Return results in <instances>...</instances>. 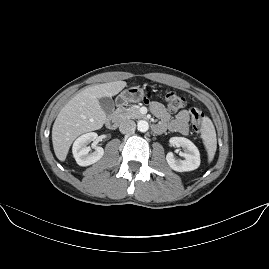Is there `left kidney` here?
Masks as SVG:
<instances>
[{
    "label": "left kidney",
    "mask_w": 269,
    "mask_h": 269,
    "mask_svg": "<svg viewBox=\"0 0 269 269\" xmlns=\"http://www.w3.org/2000/svg\"><path fill=\"white\" fill-rule=\"evenodd\" d=\"M168 142L171 146L184 148L182 153L185 157L184 160L175 157L172 151L167 153L166 160L172 169L183 172L196 169L199 166L200 154L192 141L185 137L173 136L169 138Z\"/></svg>",
    "instance_id": "5707ae66"
}]
</instances>
